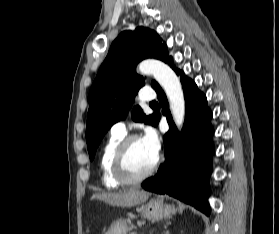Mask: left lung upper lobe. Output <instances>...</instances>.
Returning a JSON list of instances; mask_svg holds the SVG:
<instances>
[{
  "label": "left lung upper lobe",
  "mask_w": 279,
  "mask_h": 234,
  "mask_svg": "<svg viewBox=\"0 0 279 234\" xmlns=\"http://www.w3.org/2000/svg\"><path fill=\"white\" fill-rule=\"evenodd\" d=\"M146 58L165 63L171 58L166 44L153 30L137 27L135 31H123L112 43L90 90L86 140L91 160L105 133L125 119L138 90L145 85L135 68ZM151 85L159 86L155 81ZM131 117L136 122L158 124V114L146 116L139 106L133 108Z\"/></svg>",
  "instance_id": "left-lung-upper-lobe-1"
}]
</instances>
